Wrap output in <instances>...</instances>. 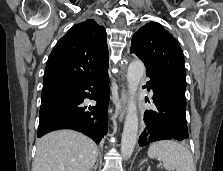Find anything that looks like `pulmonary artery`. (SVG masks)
Masks as SVG:
<instances>
[{
	"instance_id": "pulmonary-artery-1",
	"label": "pulmonary artery",
	"mask_w": 223,
	"mask_h": 171,
	"mask_svg": "<svg viewBox=\"0 0 223 171\" xmlns=\"http://www.w3.org/2000/svg\"><path fill=\"white\" fill-rule=\"evenodd\" d=\"M150 94H151V95L153 94V91H152V90H150Z\"/></svg>"
}]
</instances>
